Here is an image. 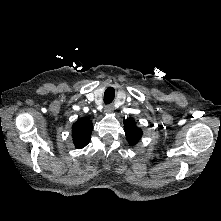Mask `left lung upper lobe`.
<instances>
[{"label":"left lung upper lobe","mask_w":221,"mask_h":221,"mask_svg":"<svg viewBox=\"0 0 221 221\" xmlns=\"http://www.w3.org/2000/svg\"><path fill=\"white\" fill-rule=\"evenodd\" d=\"M124 131L126 134V140L132 146L142 137V130L136 126V122L132 118L124 120Z\"/></svg>","instance_id":"left-lung-upper-lobe-1"}]
</instances>
